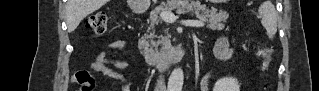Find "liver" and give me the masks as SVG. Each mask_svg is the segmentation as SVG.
Instances as JSON below:
<instances>
[{
	"label": "liver",
	"instance_id": "1",
	"mask_svg": "<svg viewBox=\"0 0 319 91\" xmlns=\"http://www.w3.org/2000/svg\"><path fill=\"white\" fill-rule=\"evenodd\" d=\"M106 2H108V0H68V29L70 31L75 30L85 17L100 9Z\"/></svg>",
	"mask_w": 319,
	"mask_h": 91
}]
</instances>
